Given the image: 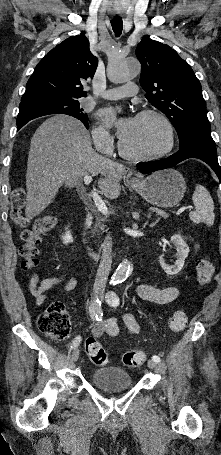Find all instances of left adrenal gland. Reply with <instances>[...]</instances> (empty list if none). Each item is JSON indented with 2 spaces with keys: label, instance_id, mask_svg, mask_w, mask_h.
Listing matches in <instances>:
<instances>
[{
  "label": "left adrenal gland",
  "instance_id": "a2214340",
  "mask_svg": "<svg viewBox=\"0 0 221 455\" xmlns=\"http://www.w3.org/2000/svg\"><path fill=\"white\" fill-rule=\"evenodd\" d=\"M151 217V214L149 213L147 218H150ZM159 219H157L155 222L151 223L150 224V227H154L157 223H158Z\"/></svg>",
  "mask_w": 221,
  "mask_h": 455
}]
</instances>
